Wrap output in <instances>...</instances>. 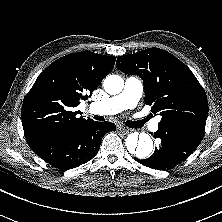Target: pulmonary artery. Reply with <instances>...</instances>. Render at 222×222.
Listing matches in <instances>:
<instances>
[{"instance_id":"e3ab8cb5","label":"pulmonary artery","mask_w":222,"mask_h":222,"mask_svg":"<svg viewBox=\"0 0 222 222\" xmlns=\"http://www.w3.org/2000/svg\"><path fill=\"white\" fill-rule=\"evenodd\" d=\"M143 93V84L137 77H128L125 80L123 90L105 100L91 103L89 109L94 114L112 115L135 107ZM158 128V120L150 122V129L155 131Z\"/></svg>"}]
</instances>
